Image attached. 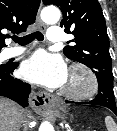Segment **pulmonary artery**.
I'll return each instance as SVG.
<instances>
[{
	"label": "pulmonary artery",
	"instance_id": "e3ab8cb5",
	"mask_svg": "<svg viewBox=\"0 0 117 131\" xmlns=\"http://www.w3.org/2000/svg\"><path fill=\"white\" fill-rule=\"evenodd\" d=\"M47 39L50 42H59L62 39V30L58 26H52L49 28L48 33H47ZM24 49L23 48H12L9 50L8 55L10 57L20 55L23 53Z\"/></svg>",
	"mask_w": 117,
	"mask_h": 131
}]
</instances>
